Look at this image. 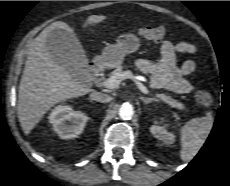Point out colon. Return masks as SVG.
Instances as JSON below:
<instances>
[{
	"label": "colon",
	"instance_id": "5ec220e1",
	"mask_svg": "<svg viewBox=\"0 0 230 186\" xmlns=\"http://www.w3.org/2000/svg\"><path fill=\"white\" fill-rule=\"evenodd\" d=\"M139 35L147 41L161 42L166 38L167 33L165 28L161 26H157V27H143L139 29ZM195 99L199 105L204 107H209L213 103L212 94L204 89H200L196 91Z\"/></svg>",
	"mask_w": 230,
	"mask_h": 186
}]
</instances>
